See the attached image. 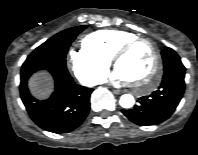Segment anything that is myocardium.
Wrapping results in <instances>:
<instances>
[{"instance_id": "obj_1", "label": "myocardium", "mask_w": 198, "mask_h": 155, "mask_svg": "<svg viewBox=\"0 0 198 155\" xmlns=\"http://www.w3.org/2000/svg\"><path fill=\"white\" fill-rule=\"evenodd\" d=\"M141 42L147 43L151 47L154 54V63L150 73L144 79V81L140 83L131 82V84L133 87L137 88L140 92L148 93L157 86L160 78L161 67H162L161 54L158 46L153 40L145 37H135L131 40H128L115 51L112 57V62L113 65L116 66L117 62L123 56H125L134 46H136L138 43Z\"/></svg>"}]
</instances>
